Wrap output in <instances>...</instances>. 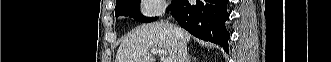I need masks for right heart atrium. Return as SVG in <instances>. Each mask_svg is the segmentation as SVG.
<instances>
[{"instance_id":"1","label":"right heart atrium","mask_w":331,"mask_h":62,"mask_svg":"<svg viewBox=\"0 0 331 62\" xmlns=\"http://www.w3.org/2000/svg\"><path fill=\"white\" fill-rule=\"evenodd\" d=\"M143 12L147 16H155L162 13L167 4L161 0H144L142 1Z\"/></svg>"}]
</instances>
